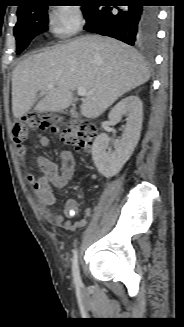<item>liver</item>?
Here are the masks:
<instances>
[{
    "label": "liver",
    "instance_id": "6515ba94",
    "mask_svg": "<svg viewBox=\"0 0 184 327\" xmlns=\"http://www.w3.org/2000/svg\"><path fill=\"white\" fill-rule=\"evenodd\" d=\"M150 72L141 55L129 45L99 35L76 37L52 50L28 56L14 69L12 112L23 117L38 112H61L73 101V91L88 94L80 111L86 118L99 117L124 93L146 83ZM53 85L54 89L45 91Z\"/></svg>",
    "mask_w": 184,
    "mask_h": 327
}]
</instances>
